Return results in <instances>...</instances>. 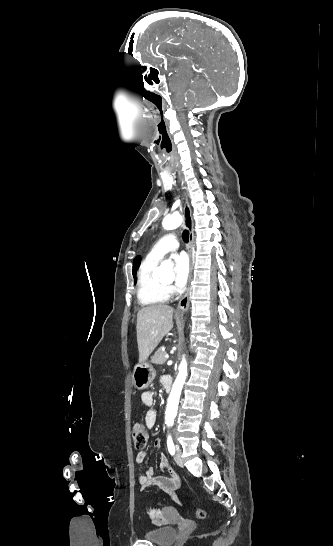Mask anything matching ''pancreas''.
I'll return each instance as SVG.
<instances>
[{
	"label": "pancreas",
	"mask_w": 333,
	"mask_h": 546,
	"mask_svg": "<svg viewBox=\"0 0 333 546\" xmlns=\"http://www.w3.org/2000/svg\"><path fill=\"white\" fill-rule=\"evenodd\" d=\"M165 354L166 352L162 348H159L152 356L151 362L157 365L164 364L166 362Z\"/></svg>",
	"instance_id": "1"
}]
</instances>
